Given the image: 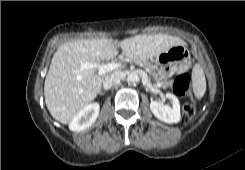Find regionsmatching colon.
<instances>
[{"label":"colon","instance_id":"5ec220e1","mask_svg":"<svg viewBox=\"0 0 245 170\" xmlns=\"http://www.w3.org/2000/svg\"><path fill=\"white\" fill-rule=\"evenodd\" d=\"M173 91L176 95L187 98L183 104V117L186 121L190 120L195 114L196 101L191 92V77L183 72L177 76L173 83Z\"/></svg>","mask_w":245,"mask_h":170}]
</instances>
